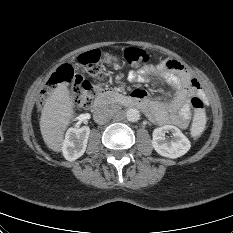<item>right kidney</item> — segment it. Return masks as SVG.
Returning <instances> with one entry per match:
<instances>
[{"label": "right kidney", "mask_w": 233, "mask_h": 233, "mask_svg": "<svg viewBox=\"0 0 233 233\" xmlns=\"http://www.w3.org/2000/svg\"><path fill=\"white\" fill-rule=\"evenodd\" d=\"M89 134L90 128L88 126L67 130L62 146V152L66 160L75 161L84 154Z\"/></svg>", "instance_id": "1"}]
</instances>
